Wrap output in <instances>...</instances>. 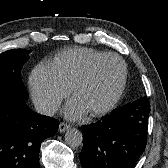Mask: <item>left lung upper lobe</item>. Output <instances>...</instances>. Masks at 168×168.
Here are the masks:
<instances>
[{
  "instance_id": "left-lung-upper-lobe-1",
  "label": "left lung upper lobe",
  "mask_w": 168,
  "mask_h": 168,
  "mask_svg": "<svg viewBox=\"0 0 168 168\" xmlns=\"http://www.w3.org/2000/svg\"><path fill=\"white\" fill-rule=\"evenodd\" d=\"M137 101H142V102H144V101H148V102H149V99L146 98V97H143V98H141V99H139V100H137Z\"/></svg>"
}]
</instances>
